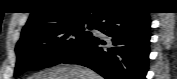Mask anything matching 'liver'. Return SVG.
Segmentation results:
<instances>
[{
    "label": "liver",
    "mask_w": 177,
    "mask_h": 79,
    "mask_svg": "<svg viewBox=\"0 0 177 79\" xmlns=\"http://www.w3.org/2000/svg\"><path fill=\"white\" fill-rule=\"evenodd\" d=\"M29 79H102L93 70L79 65H60L41 70Z\"/></svg>",
    "instance_id": "liver-1"
}]
</instances>
